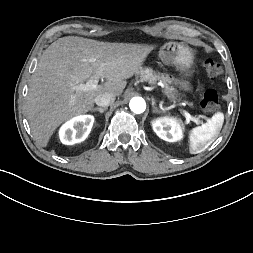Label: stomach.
Listing matches in <instances>:
<instances>
[{
    "mask_svg": "<svg viewBox=\"0 0 253 253\" xmlns=\"http://www.w3.org/2000/svg\"><path fill=\"white\" fill-rule=\"evenodd\" d=\"M159 57L164 64L174 65L184 73H189L194 63V53L192 49L183 43H165L159 51Z\"/></svg>",
    "mask_w": 253,
    "mask_h": 253,
    "instance_id": "0dacf381",
    "label": "stomach"
}]
</instances>
